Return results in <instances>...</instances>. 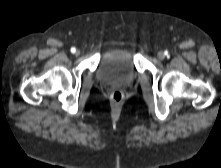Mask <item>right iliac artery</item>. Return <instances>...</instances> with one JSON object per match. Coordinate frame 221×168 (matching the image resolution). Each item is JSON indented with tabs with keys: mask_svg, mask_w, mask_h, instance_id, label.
<instances>
[{
	"mask_svg": "<svg viewBox=\"0 0 221 168\" xmlns=\"http://www.w3.org/2000/svg\"><path fill=\"white\" fill-rule=\"evenodd\" d=\"M76 49L74 47L71 48V52L75 53Z\"/></svg>",
	"mask_w": 221,
	"mask_h": 168,
	"instance_id": "82829eb1",
	"label": "right iliac artery"
}]
</instances>
